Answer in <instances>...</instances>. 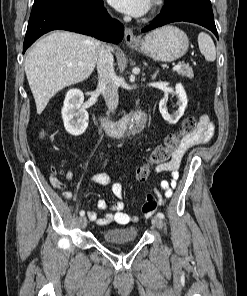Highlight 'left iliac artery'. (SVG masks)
Wrapping results in <instances>:
<instances>
[{"label": "left iliac artery", "mask_w": 247, "mask_h": 296, "mask_svg": "<svg viewBox=\"0 0 247 296\" xmlns=\"http://www.w3.org/2000/svg\"><path fill=\"white\" fill-rule=\"evenodd\" d=\"M157 217H159V218L163 219V218H164V214H163V213H161V212H159V213H157Z\"/></svg>", "instance_id": "1"}]
</instances>
